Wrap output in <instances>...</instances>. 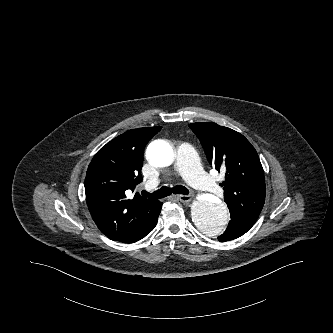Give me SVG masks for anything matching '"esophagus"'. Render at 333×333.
I'll list each match as a JSON object with an SVG mask.
<instances>
[{
    "label": "esophagus",
    "instance_id": "obj_1",
    "mask_svg": "<svg viewBox=\"0 0 333 333\" xmlns=\"http://www.w3.org/2000/svg\"><path fill=\"white\" fill-rule=\"evenodd\" d=\"M177 199L180 201V202H183V203H188L192 200V196L191 195H183V194H179L177 195Z\"/></svg>",
    "mask_w": 333,
    "mask_h": 333
}]
</instances>
